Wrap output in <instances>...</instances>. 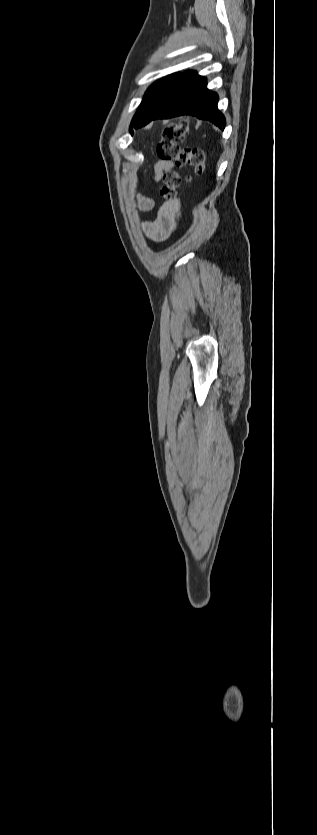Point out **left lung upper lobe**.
<instances>
[{"label":"left lung upper lobe","instance_id":"5c2ea615","mask_svg":"<svg viewBox=\"0 0 317 835\" xmlns=\"http://www.w3.org/2000/svg\"><path fill=\"white\" fill-rule=\"evenodd\" d=\"M181 77V74H172L156 81L146 91L144 98L132 119L129 131L133 134L131 128H139L143 123L152 117L157 110L164 104L171 94L175 84Z\"/></svg>","mask_w":317,"mask_h":835}]
</instances>
